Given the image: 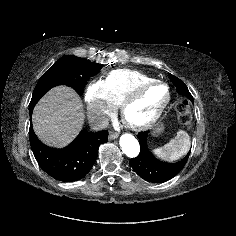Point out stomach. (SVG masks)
Returning <instances> with one entry per match:
<instances>
[{"label": "stomach", "mask_w": 236, "mask_h": 236, "mask_svg": "<svg viewBox=\"0 0 236 236\" xmlns=\"http://www.w3.org/2000/svg\"><path fill=\"white\" fill-rule=\"evenodd\" d=\"M163 126L161 125V126H159V127H157L156 129H155V131H154V133L155 134H159V133H161L162 131H163Z\"/></svg>", "instance_id": "stomach-1"}]
</instances>
